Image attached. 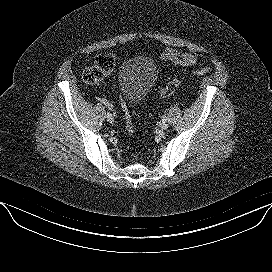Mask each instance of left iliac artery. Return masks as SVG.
<instances>
[{
	"label": "left iliac artery",
	"instance_id": "left-iliac-artery-1",
	"mask_svg": "<svg viewBox=\"0 0 272 272\" xmlns=\"http://www.w3.org/2000/svg\"><path fill=\"white\" fill-rule=\"evenodd\" d=\"M166 120H167V117L164 116V117L162 118V121H166Z\"/></svg>",
	"mask_w": 272,
	"mask_h": 272
}]
</instances>
